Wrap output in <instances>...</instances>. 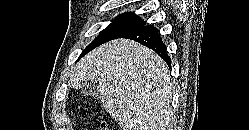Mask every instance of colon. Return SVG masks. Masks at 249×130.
<instances>
[{
	"label": "colon",
	"instance_id": "colon-1",
	"mask_svg": "<svg viewBox=\"0 0 249 130\" xmlns=\"http://www.w3.org/2000/svg\"><path fill=\"white\" fill-rule=\"evenodd\" d=\"M102 128H103L102 130H107V128L104 125H102Z\"/></svg>",
	"mask_w": 249,
	"mask_h": 130
}]
</instances>
